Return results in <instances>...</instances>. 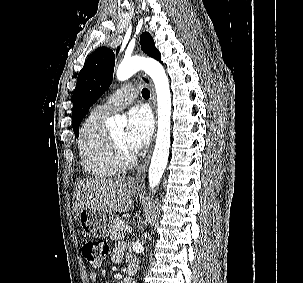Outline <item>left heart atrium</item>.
Listing matches in <instances>:
<instances>
[{
    "mask_svg": "<svg viewBox=\"0 0 303 283\" xmlns=\"http://www.w3.org/2000/svg\"><path fill=\"white\" fill-rule=\"evenodd\" d=\"M153 123L150 114L143 107H133L127 114L124 143L130 152L144 148L152 135Z\"/></svg>",
    "mask_w": 303,
    "mask_h": 283,
    "instance_id": "left-heart-atrium-1",
    "label": "left heart atrium"
}]
</instances>
